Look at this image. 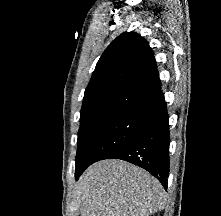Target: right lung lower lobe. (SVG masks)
Here are the masks:
<instances>
[{"label": "right lung lower lobe", "mask_w": 221, "mask_h": 216, "mask_svg": "<svg viewBox=\"0 0 221 216\" xmlns=\"http://www.w3.org/2000/svg\"><path fill=\"white\" fill-rule=\"evenodd\" d=\"M169 125L164 99L148 114L143 129L105 159H121L140 166L155 176L167 189L169 176ZM89 165L76 166L78 179Z\"/></svg>", "instance_id": "right-lung-lower-lobe-1"}]
</instances>
